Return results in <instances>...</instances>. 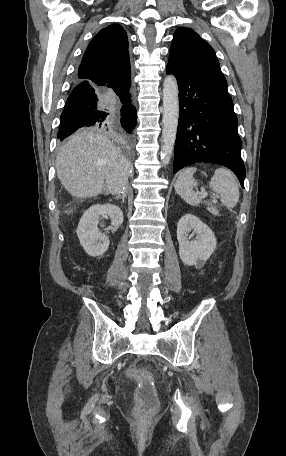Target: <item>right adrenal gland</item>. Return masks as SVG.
Returning <instances> with one entry per match:
<instances>
[{
	"mask_svg": "<svg viewBox=\"0 0 286 456\" xmlns=\"http://www.w3.org/2000/svg\"><path fill=\"white\" fill-rule=\"evenodd\" d=\"M125 197H126V192L123 191V192H122V195H121V198H122V202H123V203H124V201H125Z\"/></svg>",
	"mask_w": 286,
	"mask_h": 456,
	"instance_id": "right-adrenal-gland-1",
	"label": "right adrenal gland"
}]
</instances>
